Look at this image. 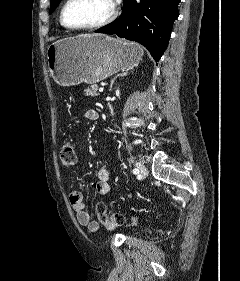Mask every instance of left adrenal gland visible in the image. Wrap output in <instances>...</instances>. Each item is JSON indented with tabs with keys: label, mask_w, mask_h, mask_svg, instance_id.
Returning <instances> with one entry per match:
<instances>
[{
	"label": "left adrenal gland",
	"mask_w": 240,
	"mask_h": 281,
	"mask_svg": "<svg viewBox=\"0 0 240 281\" xmlns=\"http://www.w3.org/2000/svg\"><path fill=\"white\" fill-rule=\"evenodd\" d=\"M126 75H128V72H123V73H121V74L116 75V76L111 80L109 91L112 90V86H113L115 80H116L118 77H124V76H126Z\"/></svg>",
	"instance_id": "a2214340"
}]
</instances>
